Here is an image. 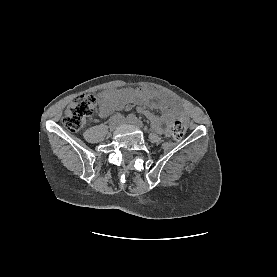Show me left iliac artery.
Wrapping results in <instances>:
<instances>
[{
    "label": "left iliac artery",
    "instance_id": "44dca946",
    "mask_svg": "<svg viewBox=\"0 0 277 277\" xmlns=\"http://www.w3.org/2000/svg\"><path fill=\"white\" fill-rule=\"evenodd\" d=\"M138 127L142 128L143 127V123L141 120L139 119H136L135 122H134Z\"/></svg>",
    "mask_w": 277,
    "mask_h": 277
}]
</instances>
